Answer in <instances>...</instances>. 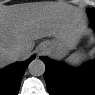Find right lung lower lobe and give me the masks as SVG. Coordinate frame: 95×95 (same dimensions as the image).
<instances>
[{"instance_id":"1","label":"right lung lower lobe","mask_w":95,"mask_h":95,"mask_svg":"<svg viewBox=\"0 0 95 95\" xmlns=\"http://www.w3.org/2000/svg\"><path fill=\"white\" fill-rule=\"evenodd\" d=\"M34 59L31 57L24 63H15L9 67L1 70L0 72V84L1 90H5L7 94H17L20 87V82L25 73L28 64Z\"/></svg>"}]
</instances>
